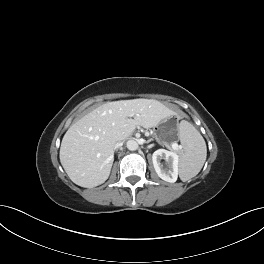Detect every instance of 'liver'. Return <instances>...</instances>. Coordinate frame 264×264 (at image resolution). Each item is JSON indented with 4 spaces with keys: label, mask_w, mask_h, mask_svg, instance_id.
<instances>
[{
    "label": "liver",
    "mask_w": 264,
    "mask_h": 264,
    "mask_svg": "<svg viewBox=\"0 0 264 264\" xmlns=\"http://www.w3.org/2000/svg\"><path fill=\"white\" fill-rule=\"evenodd\" d=\"M173 114L156 100L107 102L70 126L61 142L60 162L75 184L101 185L110 175L118 140H126L137 126L152 128Z\"/></svg>",
    "instance_id": "liver-1"
}]
</instances>
